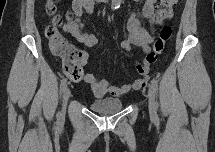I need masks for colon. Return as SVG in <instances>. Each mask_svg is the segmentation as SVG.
<instances>
[{
    "label": "colon",
    "instance_id": "1",
    "mask_svg": "<svg viewBox=\"0 0 215 152\" xmlns=\"http://www.w3.org/2000/svg\"><path fill=\"white\" fill-rule=\"evenodd\" d=\"M59 2V0H50L45 5V11L51 19V24L46 29V37L51 51L62 58L65 75L72 80H79L83 76V53L71 45L60 32L63 19L57 11ZM174 4L175 0H161L156 10V21L162 22L170 18ZM170 37L171 28L163 26L159 37L154 42L152 49L146 54L143 63L137 64L139 73L143 75L148 73L149 67L158 60Z\"/></svg>",
    "mask_w": 215,
    "mask_h": 152
}]
</instances>
